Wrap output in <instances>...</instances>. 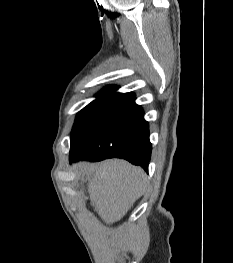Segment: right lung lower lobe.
I'll return each instance as SVG.
<instances>
[{"mask_svg":"<svg viewBox=\"0 0 233 263\" xmlns=\"http://www.w3.org/2000/svg\"><path fill=\"white\" fill-rule=\"evenodd\" d=\"M151 150L148 122L130 92L118 97L84 136L71 141L70 161L123 158L148 171Z\"/></svg>","mask_w":233,"mask_h":263,"instance_id":"98d812e1","label":"right lung lower lobe"}]
</instances>
